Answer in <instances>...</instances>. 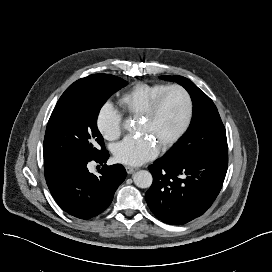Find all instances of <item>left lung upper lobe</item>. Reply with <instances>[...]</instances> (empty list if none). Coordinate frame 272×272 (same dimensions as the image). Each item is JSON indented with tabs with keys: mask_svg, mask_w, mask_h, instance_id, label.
I'll return each instance as SVG.
<instances>
[{
	"mask_svg": "<svg viewBox=\"0 0 272 272\" xmlns=\"http://www.w3.org/2000/svg\"><path fill=\"white\" fill-rule=\"evenodd\" d=\"M182 85L193 101V118L186 134L165 156L197 158L228 154L225 127L213 101L192 81L182 76H161Z\"/></svg>",
	"mask_w": 272,
	"mask_h": 272,
	"instance_id": "5c2ea615",
	"label": "left lung upper lobe"
}]
</instances>
